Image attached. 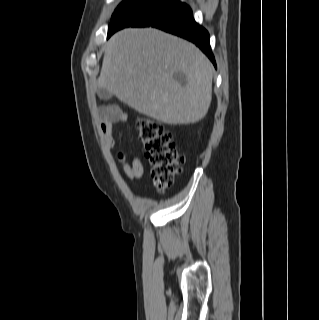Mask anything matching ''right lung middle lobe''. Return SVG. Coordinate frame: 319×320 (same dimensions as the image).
<instances>
[{
	"label": "right lung middle lobe",
	"mask_w": 319,
	"mask_h": 320,
	"mask_svg": "<svg viewBox=\"0 0 319 320\" xmlns=\"http://www.w3.org/2000/svg\"><path fill=\"white\" fill-rule=\"evenodd\" d=\"M179 0H124L115 10L108 31L131 26L146 16L170 8Z\"/></svg>",
	"instance_id": "dd1d6c3e"
}]
</instances>
